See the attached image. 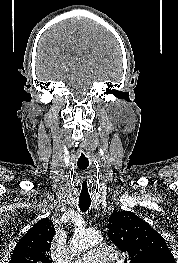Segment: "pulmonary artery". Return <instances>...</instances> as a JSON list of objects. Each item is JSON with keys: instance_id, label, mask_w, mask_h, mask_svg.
<instances>
[{"instance_id": "obj_1", "label": "pulmonary artery", "mask_w": 178, "mask_h": 263, "mask_svg": "<svg viewBox=\"0 0 178 263\" xmlns=\"http://www.w3.org/2000/svg\"><path fill=\"white\" fill-rule=\"evenodd\" d=\"M117 258L118 254L115 249L98 246L75 259L74 263H109Z\"/></svg>"}]
</instances>
